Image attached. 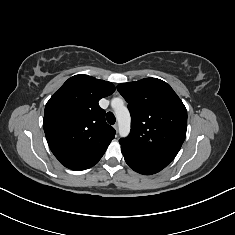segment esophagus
<instances>
[{
  "label": "esophagus",
  "mask_w": 235,
  "mask_h": 235,
  "mask_svg": "<svg viewBox=\"0 0 235 235\" xmlns=\"http://www.w3.org/2000/svg\"><path fill=\"white\" fill-rule=\"evenodd\" d=\"M114 129L116 130V131H118V128H119V125L116 123V124H114Z\"/></svg>",
  "instance_id": "1"
}]
</instances>
